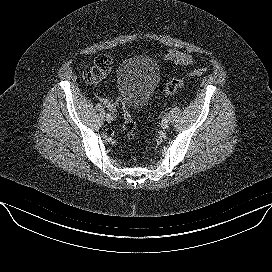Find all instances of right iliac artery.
<instances>
[{
  "label": "right iliac artery",
  "mask_w": 272,
  "mask_h": 272,
  "mask_svg": "<svg viewBox=\"0 0 272 272\" xmlns=\"http://www.w3.org/2000/svg\"><path fill=\"white\" fill-rule=\"evenodd\" d=\"M104 115H105V117L108 118V117H110L111 113H110V111L107 110V111H105Z\"/></svg>",
  "instance_id": "82829eb1"
}]
</instances>
